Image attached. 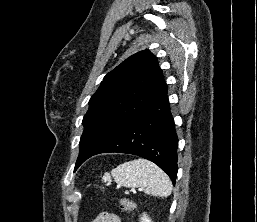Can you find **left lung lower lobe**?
<instances>
[{"instance_id": "left-lung-lower-lobe-1", "label": "left lung lower lobe", "mask_w": 257, "mask_h": 222, "mask_svg": "<svg viewBox=\"0 0 257 222\" xmlns=\"http://www.w3.org/2000/svg\"><path fill=\"white\" fill-rule=\"evenodd\" d=\"M177 147L178 138L166 90L94 155L119 152L143 157L157 164L175 184Z\"/></svg>"}]
</instances>
